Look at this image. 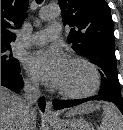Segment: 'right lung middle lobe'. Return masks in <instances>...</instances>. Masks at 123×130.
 Returning <instances> with one entry per match:
<instances>
[{"instance_id":"dd1d6c3e","label":"right lung middle lobe","mask_w":123,"mask_h":130,"mask_svg":"<svg viewBox=\"0 0 123 130\" xmlns=\"http://www.w3.org/2000/svg\"><path fill=\"white\" fill-rule=\"evenodd\" d=\"M10 50V45H1V68H6L13 72H20L19 61L13 58Z\"/></svg>"}]
</instances>
